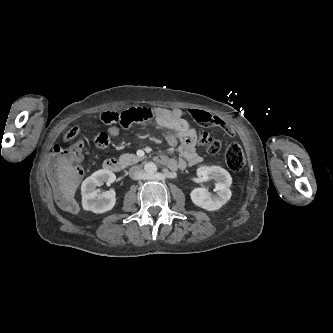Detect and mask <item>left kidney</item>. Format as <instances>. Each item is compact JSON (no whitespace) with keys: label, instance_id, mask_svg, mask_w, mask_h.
I'll list each match as a JSON object with an SVG mask.
<instances>
[{"label":"left kidney","instance_id":"5707ae66","mask_svg":"<svg viewBox=\"0 0 333 333\" xmlns=\"http://www.w3.org/2000/svg\"><path fill=\"white\" fill-rule=\"evenodd\" d=\"M197 172L205 181H215L216 194H211L206 187L195 188L190 194L192 202L208 211L220 209L231 198V175L227 170L215 165L201 166Z\"/></svg>","mask_w":333,"mask_h":333}]
</instances>
